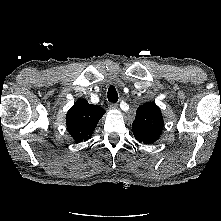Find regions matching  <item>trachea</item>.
Masks as SVG:
<instances>
[{"mask_svg": "<svg viewBox=\"0 0 221 221\" xmlns=\"http://www.w3.org/2000/svg\"><path fill=\"white\" fill-rule=\"evenodd\" d=\"M108 100L112 103H116L118 101V93L113 85L108 88Z\"/></svg>", "mask_w": 221, "mask_h": 221, "instance_id": "1", "label": "trachea"}]
</instances>
